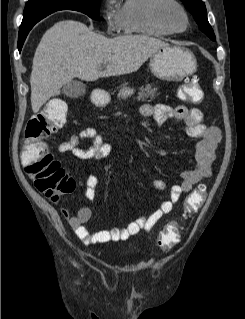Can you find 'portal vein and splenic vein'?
I'll use <instances>...</instances> for the list:
<instances>
[{
    "label": "portal vein and splenic vein",
    "mask_w": 245,
    "mask_h": 319,
    "mask_svg": "<svg viewBox=\"0 0 245 319\" xmlns=\"http://www.w3.org/2000/svg\"><path fill=\"white\" fill-rule=\"evenodd\" d=\"M105 67V65H101V66H99V69L101 70V69H103Z\"/></svg>",
    "instance_id": "obj_1"
}]
</instances>
